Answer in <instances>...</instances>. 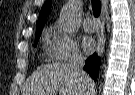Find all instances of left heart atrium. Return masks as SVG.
<instances>
[{
  "instance_id": "1",
  "label": "left heart atrium",
  "mask_w": 135,
  "mask_h": 95,
  "mask_svg": "<svg viewBox=\"0 0 135 95\" xmlns=\"http://www.w3.org/2000/svg\"><path fill=\"white\" fill-rule=\"evenodd\" d=\"M82 46L86 53H92L96 49V41L92 37L86 36L82 40Z\"/></svg>"
}]
</instances>
